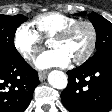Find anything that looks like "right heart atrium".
I'll return each mask as SVG.
<instances>
[{
    "mask_svg": "<svg viewBox=\"0 0 112 112\" xmlns=\"http://www.w3.org/2000/svg\"><path fill=\"white\" fill-rule=\"evenodd\" d=\"M13 43L16 50L27 61L33 59L43 47L41 37L28 23H23L16 28Z\"/></svg>",
    "mask_w": 112,
    "mask_h": 112,
    "instance_id": "right-heart-atrium-1",
    "label": "right heart atrium"
}]
</instances>
